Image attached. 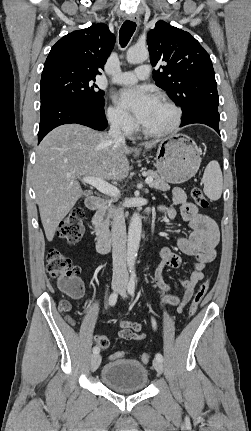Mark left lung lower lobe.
Wrapping results in <instances>:
<instances>
[{
    "label": "left lung lower lobe",
    "instance_id": "obj_1",
    "mask_svg": "<svg viewBox=\"0 0 251 431\" xmlns=\"http://www.w3.org/2000/svg\"><path fill=\"white\" fill-rule=\"evenodd\" d=\"M219 120L220 117L218 111L204 110L191 115L185 120H182L180 126L182 127L188 124L201 123L212 127L218 134H220L218 128Z\"/></svg>",
    "mask_w": 251,
    "mask_h": 431
}]
</instances>
